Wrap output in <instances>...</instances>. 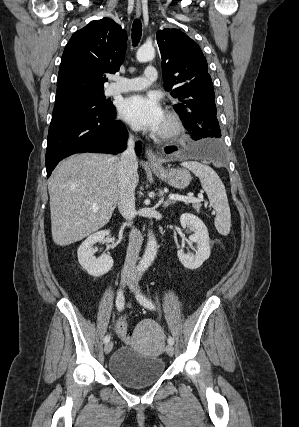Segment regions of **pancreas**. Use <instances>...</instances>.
I'll return each instance as SVG.
<instances>
[{"instance_id":"obj_1","label":"pancreas","mask_w":299,"mask_h":427,"mask_svg":"<svg viewBox=\"0 0 299 427\" xmlns=\"http://www.w3.org/2000/svg\"><path fill=\"white\" fill-rule=\"evenodd\" d=\"M192 204V207L197 211L200 212L201 203L200 202H188Z\"/></svg>"}]
</instances>
